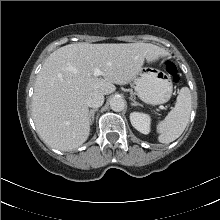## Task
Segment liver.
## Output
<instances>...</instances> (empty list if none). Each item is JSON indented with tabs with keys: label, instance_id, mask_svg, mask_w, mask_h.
Wrapping results in <instances>:
<instances>
[{
	"label": "liver",
	"instance_id": "obj_1",
	"mask_svg": "<svg viewBox=\"0 0 220 220\" xmlns=\"http://www.w3.org/2000/svg\"><path fill=\"white\" fill-rule=\"evenodd\" d=\"M168 55L165 49L142 42L74 43L55 50L45 60L34 86L32 117L39 135L52 148H78L90 133L87 94H111L116 90L114 84L132 81L145 60ZM95 68L102 71V77L93 75Z\"/></svg>",
	"mask_w": 220,
	"mask_h": 220
}]
</instances>
